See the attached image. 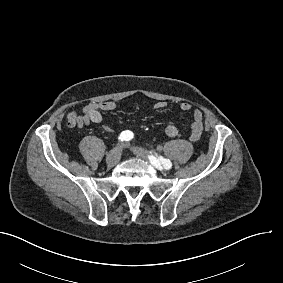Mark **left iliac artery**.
Listing matches in <instances>:
<instances>
[{
	"label": "left iliac artery",
	"instance_id": "1",
	"mask_svg": "<svg viewBox=\"0 0 283 283\" xmlns=\"http://www.w3.org/2000/svg\"><path fill=\"white\" fill-rule=\"evenodd\" d=\"M149 159H150L151 163H152L154 166H157L159 163L161 164V162H162L163 166H164L166 169H170V168L172 167L171 161H170L169 159H164L162 156H160V157L158 158V160H157L156 158H154L153 156L150 157ZM159 160H160L161 162H160Z\"/></svg>",
	"mask_w": 283,
	"mask_h": 283
}]
</instances>
